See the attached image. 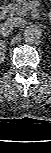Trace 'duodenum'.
Listing matches in <instances>:
<instances>
[{
    "mask_svg": "<svg viewBox=\"0 0 51 153\" xmlns=\"http://www.w3.org/2000/svg\"><path fill=\"white\" fill-rule=\"evenodd\" d=\"M6 13H7V8L6 6H3L0 8V18H4L6 16Z\"/></svg>",
    "mask_w": 51,
    "mask_h": 153,
    "instance_id": "duodenum-1",
    "label": "duodenum"
}]
</instances>
